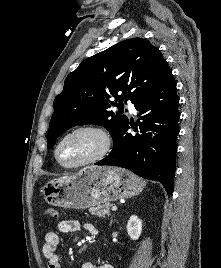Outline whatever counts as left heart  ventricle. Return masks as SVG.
Instances as JSON below:
<instances>
[{
    "mask_svg": "<svg viewBox=\"0 0 221 268\" xmlns=\"http://www.w3.org/2000/svg\"><path fill=\"white\" fill-rule=\"evenodd\" d=\"M100 143V138L92 132L77 133L62 144L59 158L65 164L78 163L93 155Z\"/></svg>",
    "mask_w": 221,
    "mask_h": 268,
    "instance_id": "obj_1",
    "label": "left heart ventricle"
}]
</instances>
